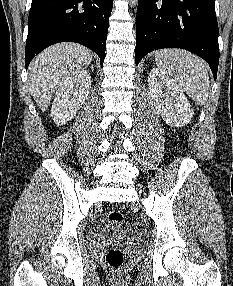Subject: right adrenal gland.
<instances>
[{
  "instance_id": "1",
  "label": "right adrenal gland",
  "mask_w": 233,
  "mask_h": 286,
  "mask_svg": "<svg viewBox=\"0 0 233 286\" xmlns=\"http://www.w3.org/2000/svg\"><path fill=\"white\" fill-rule=\"evenodd\" d=\"M92 70L94 69V64L91 65Z\"/></svg>"
}]
</instances>
